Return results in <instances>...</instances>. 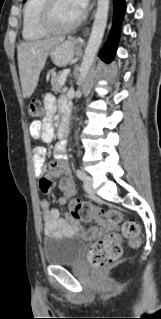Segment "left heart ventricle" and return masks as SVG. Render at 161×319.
<instances>
[{"label": "left heart ventricle", "instance_id": "left-heart-ventricle-1", "mask_svg": "<svg viewBox=\"0 0 161 319\" xmlns=\"http://www.w3.org/2000/svg\"><path fill=\"white\" fill-rule=\"evenodd\" d=\"M80 13L81 11L76 7L73 0H57L53 22L59 27L66 26L73 22Z\"/></svg>", "mask_w": 161, "mask_h": 319}]
</instances>
